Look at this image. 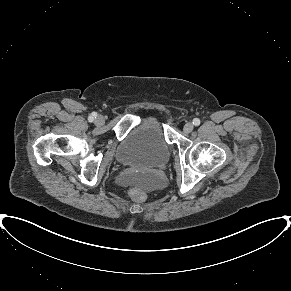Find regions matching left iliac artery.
Returning <instances> with one entry per match:
<instances>
[{
	"mask_svg": "<svg viewBox=\"0 0 291 291\" xmlns=\"http://www.w3.org/2000/svg\"><path fill=\"white\" fill-rule=\"evenodd\" d=\"M193 124L195 126H199L200 125V119H198V118L193 119Z\"/></svg>",
	"mask_w": 291,
	"mask_h": 291,
	"instance_id": "left-iliac-artery-1",
	"label": "left iliac artery"
}]
</instances>
